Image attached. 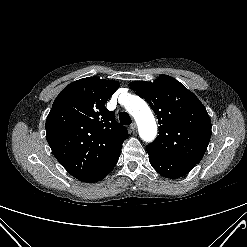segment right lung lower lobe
Returning a JSON list of instances; mask_svg holds the SVG:
<instances>
[{"mask_svg":"<svg viewBox=\"0 0 247 247\" xmlns=\"http://www.w3.org/2000/svg\"><path fill=\"white\" fill-rule=\"evenodd\" d=\"M118 154L116 157H114L111 161H109L108 163H106L105 165H103L102 167H100L99 169H97L95 172H93L92 174L84 177L83 179H81L80 181L83 182H88V183H93V182H97L102 180L103 178H105L110 171L114 168V166L116 165L118 158H119Z\"/></svg>","mask_w":247,"mask_h":247,"instance_id":"right-lung-lower-lobe-1","label":"right lung lower lobe"}]
</instances>
